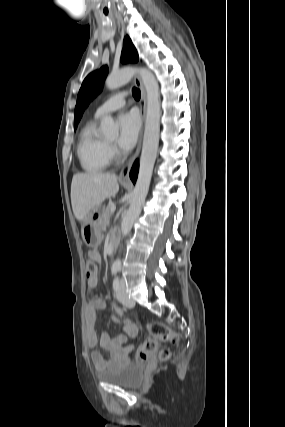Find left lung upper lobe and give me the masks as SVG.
<instances>
[{"label": "left lung upper lobe", "instance_id": "5c2ea615", "mask_svg": "<svg viewBox=\"0 0 285 427\" xmlns=\"http://www.w3.org/2000/svg\"><path fill=\"white\" fill-rule=\"evenodd\" d=\"M138 54L135 47L132 44L131 39L126 36L124 38V47L121 54V61L123 63L127 62H137ZM108 68L103 66L100 70L90 73L82 83L80 91L77 97V104L75 107V118L74 126L75 128L78 125V122L82 116L84 109L88 106L90 101L102 90L104 80L107 76Z\"/></svg>", "mask_w": 285, "mask_h": 427}]
</instances>
